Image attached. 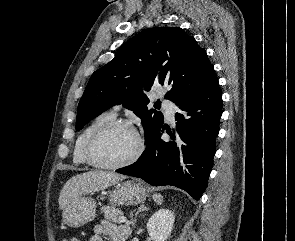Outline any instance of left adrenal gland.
<instances>
[{
  "label": "left adrenal gland",
  "instance_id": "a2214340",
  "mask_svg": "<svg viewBox=\"0 0 295 241\" xmlns=\"http://www.w3.org/2000/svg\"><path fill=\"white\" fill-rule=\"evenodd\" d=\"M148 209L149 208L147 206H145L144 204L140 205V207L138 208V211L135 213V216L132 218V221H131L133 228L135 227L137 215L142 211H147Z\"/></svg>",
  "mask_w": 295,
  "mask_h": 241
}]
</instances>
